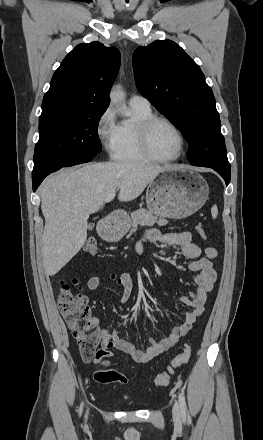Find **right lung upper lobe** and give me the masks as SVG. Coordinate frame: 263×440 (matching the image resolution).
<instances>
[{"label": "right lung upper lobe", "mask_w": 263, "mask_h": 440, "mask_svg": "<svg viewBox=\"0 0 263 440\" xmlns=\"http://www.w3.org/2000/svg\"><path fill=\"white\" fill-rule=\"evenodd\" d=\"M120 66V52L99 42L77 45L55 71L42 113L107 109Z\"/></svg>", "instance_id": "cb5924a9"}]
</instances>
